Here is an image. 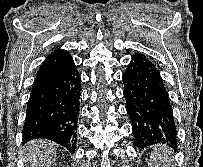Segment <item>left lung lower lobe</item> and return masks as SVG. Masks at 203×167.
I'll use <instances>...</instances> for the list:
<instances>
[{
	"mask_svg": "<svg viewBox=\"0 0 203 167\" xmlns=\"http://www.w3.org/2000/svg\"><path fill=\"white\" fill-rule=\"evenodd\" d=\"M122 80L135 146L144 149L168 144L177 148L173 111L155 65L143 54L136 53Z\"/></svg>",
	"mask_w": 203,
	"mask_h": 167,
	"instance_id": "0a47b994",
	"label": "left lung lower lobe"
}]
</instances>
